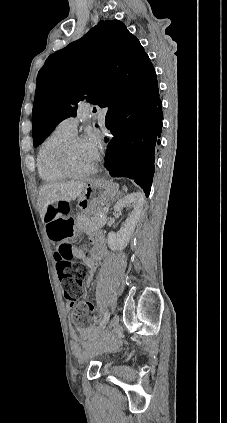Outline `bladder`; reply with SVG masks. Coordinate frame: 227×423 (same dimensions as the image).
I'll list each match as a JSON object with an SVG mask.
<instances>
[{"label":"bladder","instance_id":"31cf9c89","mask_svg":"<svg viewBox=\"0 0 227 423\" xmlns=\"http://www.w3.org/2000/svg\"><path fill=\"white\" fill-rule=\"evenodd\" d=\"M107 354L108 352L106 351L98 350L94 352L93 356L99 357L101 359V363L104 364V363L110 362L112 358V356H109Z\"/></svg>","mask_w":227,"mask_h":423}]
</instances>
